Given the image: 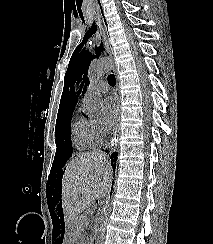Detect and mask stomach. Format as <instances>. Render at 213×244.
<instances>
[{
    "label": "stomach",
    "instance_id": "0dacf381",
    "mask_svg": "<svg viewBox=\"0 0 213 244\" xmlns=\"http://www.w3.org/2000/svg\"><path fill=\"white\" fill-rule=\"evenodd\" d=\"M75 221H66L65 228L68 234H66V239H64V244H71V239H78L80 230L75 226Z\"/></svg>",
    "mask_w": 213,
    "mask_h": 244
}]
</instances>
